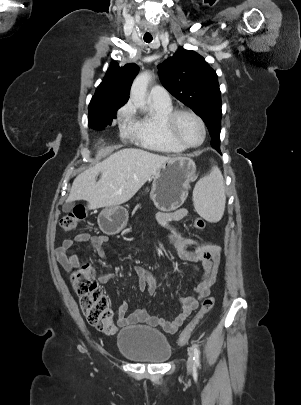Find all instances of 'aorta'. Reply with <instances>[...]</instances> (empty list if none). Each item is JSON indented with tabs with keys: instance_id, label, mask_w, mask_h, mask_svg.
<instances>
[{
	"instance_id": "aorta-1",
	"label": "aorta",
	"mask_w": 301,
	"mask_h": 405,
	"mask_svg": "<svg viewBox=\"0 0 301 405\" xmlns=\"http://www.w3.org/2000/svg\"><path fill=\"white\" fill-rule=\"evenodd\" d=\"M151 74L147 71L139 74L131 87L130 97L135 106L144 109L146 107V94Z\"/></svg>"
}]
</instances>
